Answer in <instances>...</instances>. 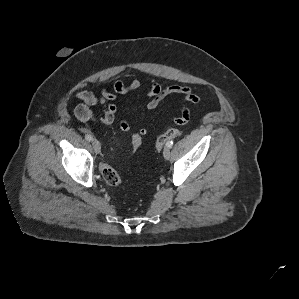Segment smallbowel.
<instances>
[{
	"mask_svg": "<svg viewBox=\"0 0 299 299\" xmlns=\"http://www.w3.org/2000/svg\"><path fill=\"white\" fill-rule=\"evenodd\" d=\"M141 87V81L138 78L132 79L129 83H125L122 80H117L112 87V90L103 89L100 96L95 95L91 91L81 90L76 94V98L80 103L75 108L76 117L81 122H99L104 125L112 124L116 119L117 106L114 101L117 95H125L128 93L136 92ZM182 95L188 104H196L199 101L198 96L188 86L172 85L163 87L162 85L154 82L151 84L147 91L149 98L146 107L148 110L155 109L159 103L168 95ZM102 106L104 109L103 114L100 117H96L92 111V107ZM190 117V108L185 106L181 114L174 118V122L179 125H183L188 122ZM120 128L124 132H131L132 128L130 124L122 119L119 122ZM143 136L147 134L146 128L138 130Z\"/></svg>",
	"mask_w": 299,
	"mask_h": 299,
	"instance_id": "c3829d8e",
	"label": "small bowel"
}]
</instances>
